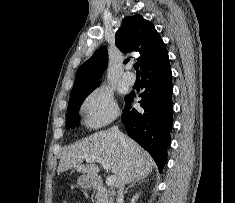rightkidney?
Wrapping results in <instances>:
<instances>
[{
    "label": "right kidney",
    "mask_w": 235,
    "mask_h": 203,
    "mask_svg": "<svg viewBox=\"0 0 235 203\" xmlns=\"http://www.w3.org/2000/svg\"><path fill=\"white\" fill-rule=\"evenodd\" d=\"M139 198V194H136L135 196L132 197L131 202L130 203H135V201H137Z\"/></svg>",
    "instance_id": "1"
}]
</instances>
